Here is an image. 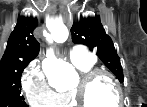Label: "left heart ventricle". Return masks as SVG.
Instances as JSON below:
<instances>
[{
	"mask_svg": "<svg viewBox=\"0 0 147 107\" xmlns=\"http://www.w3.org/2000/svg\"><path fill=\"white\" fill-rule=\"evenodd\" d=\"M86 96L90 107H113L118 103L116 88L106 77L96 80L89 87Z\"/></svg>",
	"mask_w": 147,
	"mask_h": 107,
	"instance_id": "b2bd125f",
	"label": "left heart ventricle"
}]
</instances>
